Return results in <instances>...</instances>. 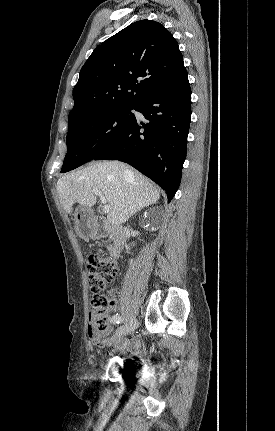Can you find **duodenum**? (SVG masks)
<instances>
[{"label":"duodenum","instance_id":"duodenum-1","mask_svg":"<svg viewBox=\"0 0 275 431\" xmlns=\"http://www.w3.org/2000/svg\"><path fill=\"white\" fill-rule=\"evenodd\" d=\"M103 230L110 232L113 245L111 248V254L115 258H118L127 242V234L121 227L114 226L108 221H100L98 218H93L90 223V235L93 237H99L102 235Z\"/></svg>","mask_w":275,"mask_h":431}]
</instances>
